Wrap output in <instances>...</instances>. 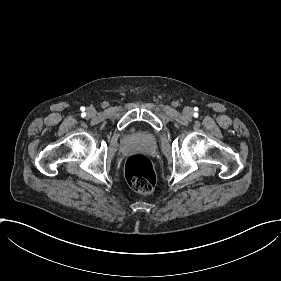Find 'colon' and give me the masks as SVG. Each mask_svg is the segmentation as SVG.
Listing matches in <instances>:
<instances>
[{"label":"colon","mask_w":281,"mask_h":281,"mask_svg":"<svg viewBox=\"0 0 281 281\" xmlns=\"http://www.w3.org/2000/svg\"><path fill=\"white\" fill-rule=\"evenodd\" d=\"M124 173L129 186L137 191H150L156 185V173L153 165L143 155H131L127 158Z\"/></svg>","instance_id":"1"}]
</instances>
